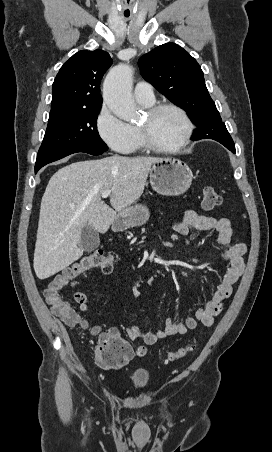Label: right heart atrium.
<instances>
[{"label": "right heart atrium", "instance_id": "obj_1", "mask_svg": "<svg viewBox=\"0 0 272 452\" xmlns=\"http://www.w3.org/2000/svg\"><path fill=\"white\" fill-rule=\"evenodd\" d=\"M95 128L100 139L112 150L127 153L130 149L133 138L131 126L116 117L106 104L96 115Z\"/></svg>", "mask_w": 272, "mask_h": 452}]
</instances>
